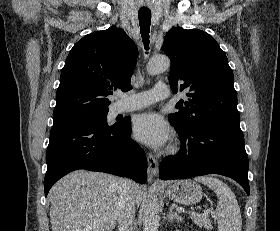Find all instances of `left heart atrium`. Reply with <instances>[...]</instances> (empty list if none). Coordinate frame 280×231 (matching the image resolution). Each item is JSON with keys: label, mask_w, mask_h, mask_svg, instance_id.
<instances>
[{"label": "left heart atrium", "mask_w": 280, "mask_h": 231, "mask_svg": "<svg viewBox=\"0 0 280 231\" xmlns=\"http://www.w3.org/2000/svg\"><path fill=\"white\" fill-rule=\"evenodd\" d=\"M132 135L136 140L150 147L161 148L169 142L171 131L160 116L144 113L134 119Z\"/></svg>", "instance_id": "obj_1"}]
</instances>
